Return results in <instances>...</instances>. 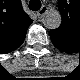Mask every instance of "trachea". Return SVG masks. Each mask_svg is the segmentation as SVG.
Wrapping results in <instances>:
<instances>
[{
	"mask_svg": "<svg viewBox=\"0 0 80 80\" xmlns=\"http://www.w3.org/2000/svg\"><path fill=\"white\" fill-rule=\"evenodd\" d=\"M29 8L33 11H38L41 8V2L39 0H30Z\"/></svg>",
	"mask_w": 80,
	"mask_h": 80,
	"instance_id": "obj_1",
	"label": "trachea"
}]
</instances>
